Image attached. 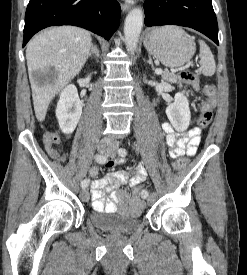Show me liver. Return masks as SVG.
<instances>
[{
	"mask_svg": "<svg viewBox=\"0 0 247 275\" xmlns=\"http://www.w3.org/2000/svg\"><path fill=\"white\" fill-rule=\"evenodd\" d=\"M89 31L75 26L52 27L35 36L27 45L26 60L38 121L45 120L49 104L83 68L91 49ZM54 67L51 83H38L33 74Z\"/></svg>",
	"mask_w": 247,
	"mask_h": 275,
	"instance_id": "1",
	"label": "liver"
}]
</instances>
